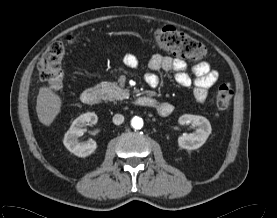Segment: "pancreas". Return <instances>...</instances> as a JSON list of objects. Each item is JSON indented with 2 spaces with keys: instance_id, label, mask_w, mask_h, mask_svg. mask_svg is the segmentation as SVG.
Masks as SVG:
<instances>
[{
  "instance_id": "pancreas-1",
  "label": "pancreas",
  "mask_w": 277,
  "mask_h": 218,
  "mask_svg": "<svg viewBox=\"0 0 277 218\" xmlns=\"http://www.w3.org/2000/svg\"><path fill=\"white\" fill-rule=\"evenodd\" d=\"M96 88L100 90L102 97L109 101L123 100L130 96L128 89H124L114 82H102L97 84Z\"/></svg>"
}]
</instances>
